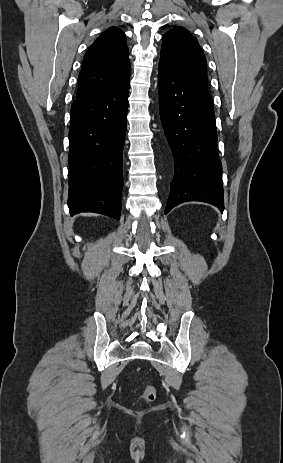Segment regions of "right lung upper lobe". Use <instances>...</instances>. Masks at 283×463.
Segmentation results:
<instances>
[{"mask_svg": "<svg viewBox=\"0 0 283 463\" xmlns=\"http://www.w3.org/2000/svg\"><path fill=\"white\" fill-rule=\"evenodd\" d=\"M129 51L124 32L110 27L90 46L78 76L76 97L120 83L130 77Z\"/></svg>", "mask_w": 283, "mask_h": 463, "instance_id": "right-lung-upper-lobe-1", "label": "right lung upper lobe"}]
</instances>
